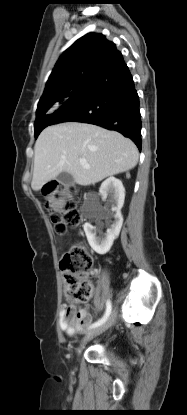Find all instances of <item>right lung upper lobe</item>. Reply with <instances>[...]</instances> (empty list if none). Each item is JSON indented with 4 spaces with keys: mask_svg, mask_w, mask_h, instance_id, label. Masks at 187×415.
I'll use <instances>...</instances> for the list:
<instances>
[{
    "mask_svg": "<svg viewBox=\"0 0 187 415\" xmlns=\"http://www.w3.org/2000/svg\"><path fill=\"white\" fill-rule=\"evenodd\" d=\"M120 55L115 44L102 34L88 33L81 37L60 56L37 109L57 102L67 90L86 81Z\"/></svg>",
    "mask_w": 187,
    "mask_h": 415,
    "instance_id": "cb5924a9",
    "label": "right lung upper lobe"
}]
</instances>
